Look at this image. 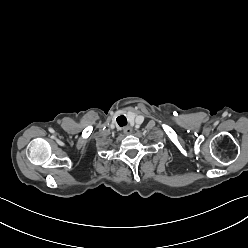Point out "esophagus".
Listing matches in <instances>:
<instances>
[{
  "label": "esophagus",
  "mask_w": 248,
  "mask_h": 248,
  "mask_svg": "<svg viewBox=\"0 0 248 248\" xmlns=\"http://www.w3.org/2000/svg\"><path fill=\"white\" fill-rule=\"evenodd\" d=\"M124 133L127 134V135L131 134L132 133V129L130 127H126L124 129Z\"/></svg>",
  "instance_id": "obj_1"
}]
</instances>
